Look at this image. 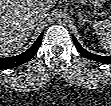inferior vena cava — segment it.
<instances>
[{
	"label": "inferior vena cava",
	"mask_w": 111,
	"mask_h": 106,
	"mask_svg": "<svg viewBox=\"0 0 111 106\" xmlns=\"http://www.w3.org/2000/svg\"><path fill=\"white\" fill-rule=\"evenodd\" d=\"M48 15V10L44 8H39L34 13V18L36 21H42Z\"/></svg>",
	"instance_id": "inferior-vena-cava-1"
}]
</instances>
